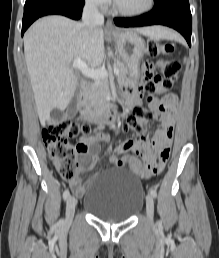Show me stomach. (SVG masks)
Masks as SVG:
<instances>
[{"label": "stomach", "instance_id": "0dacf381", "mask_svg": "<svg viewBox=\"0 0 219 258\" xmlns=\"http://www.w3.org/2000/svg\"><path fill=\"white\" fill-rule=\"evenodd\" d=\"M112 37L116 41L119 56L130 71V76L137 79L140 61L147 51L144 40L134 30H122L113 33Z\"/></svg>", "mask_w": 219, "mask_h": 258}]
</instances>
